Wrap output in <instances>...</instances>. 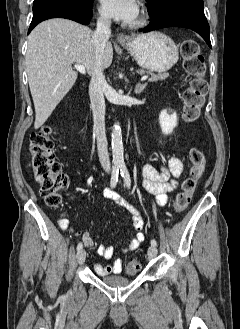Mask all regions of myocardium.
<instances>
[{"label": "myocardium", "mask_w": 240, "mask_h": 329, "mask_svg": "<svg viewBox=\"0 0 240 329\" xmlns=\"http://www.w3.org/2000/svg\"><path fill=\"white\" fill-rule=\"evenodd\" d=\"M146 20H147V16H146L144 10H142L141 13L139 14L138 18L136 20H134L133 22H131L129 24V26L132 28H137V27L143 26L146 23Z\"/></svg>", "instance_id": "f54148a6"}]
</instances>
